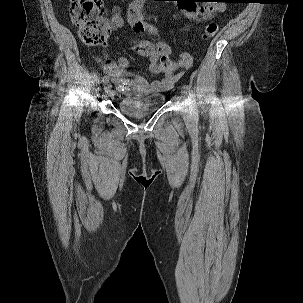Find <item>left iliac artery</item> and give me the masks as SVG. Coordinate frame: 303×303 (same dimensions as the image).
I'll use <instances>...</instances> for the list:
<instances>
[{
	"label": "left iliac artery",
	"mask_w": 303,
	"mask_h": 303,
	"mask_svg": "<svg viewBox=\"0 0 303 303\" xmlns=\"http://www.w3.org/2000/svg\"><path fill=\"white\" fill-rule=\"evenodd\" d=\"M183 89H184L185 93L188 94L189 100L192 101V103H193L192 116H193L194 120H198L199 115H198L195 93L193 92L190 85H184Z\"/></svg>",
	"instance_id": "obj_1"
}]
</instances>
